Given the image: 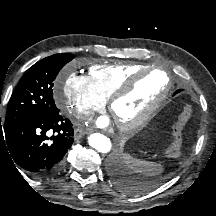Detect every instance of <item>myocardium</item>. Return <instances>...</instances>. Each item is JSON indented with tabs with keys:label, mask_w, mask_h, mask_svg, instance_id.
Here are the masks:
<instances>
[{
	"label": "myocardium",
	"mask_w": 216,
	"mask_h": 216,
	"mask_svg": "<svg viewBox=\"0 0 216 216\" xmlns=\"http://www.w3.org/2000/svg\"><path fill=\"white\" fill-rule=\"evenodd\" d=\"M154 72L163 73L167 77V85L163 92L148 106V108L136 119L130 121H117L118 128L124 133L134 132L144 126L159 110L163 103L168 98L173 82L170 75L161 71L156 67L142 68L141 70L130 75L121 85H119L110 95L108 99V109L111 113L114 111L115 104L128 97L133 93L137 85L146 77Z\"/></svg>",
	"instance_id": "obj_1"
}]
</instances>
